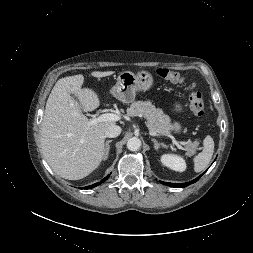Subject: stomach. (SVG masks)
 Instances as JSON below:
<instances>
[{
  "mask_svg": "<svg viewBox=\"0 0 253 253\" xmlns=\"http://www.w3.org/2000/svg\"><path fill=\"white\" fill-rule=\"evenodd\" d=\"M153 85V77L148 71H139L136 75L130 71L120 73L116 85L111 89V94L123 103H131L135 100L137 91H147ZM176 112L183 111V105L179 102L174 105ZM172 130L176 133L181 131V125L175 122Z\"/></svg>",
  "mask_w": 253,
  "mask_h": 253,
  "instance_id": "obj_1",
  "label": "stomach"
}]
</instances>
